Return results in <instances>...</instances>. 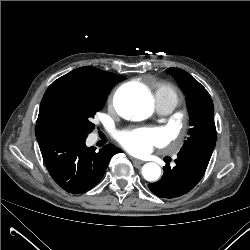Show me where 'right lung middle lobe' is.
I'll list each match as a JSON object with an SVG mask.
<instances>
[{"label":"right lung middle lobe","mask_w":250,"mask_h":250,"mask_svg":"<svg viewBox=\"0 0 250 250\" xmlns=\"http://www.w3.org/2000/svg\"><path fill=\"white\" fill-rule=\"evenodd\" d=\"M116 83L99 88L70 86L61 90L54 102V116L59 133L88 135L92 132L94 124L91 120L103 108L107 95Z\"/></svg>","instance_id":"right-lung-middle-lobe-1"}]
</instances>
